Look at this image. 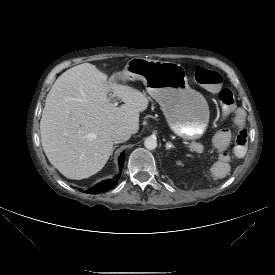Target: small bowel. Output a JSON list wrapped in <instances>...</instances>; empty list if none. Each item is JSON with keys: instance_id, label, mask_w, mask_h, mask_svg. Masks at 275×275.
<instances>
[{"instance_id": "1", "label": "small bowel", "mask_w": 275, "mask_h": 275, "mask_svg": "<svg viewBox=\"0 0 275 275\" xmlns=\"http://www.w3.org/2000/svg\"><path fill=\"white\" fill-rule=\"evenodd\" d=\"M233 123L236 130L246 129V114L243 109L237 108L235 110ZM211 142L214 148L220 150V152L216 154L215 161L210 166L209 176L214 181H221L228 175L233 166L232 156L225 150L231 148L234 137L228 129L220 128L212 134Z\"/></svg>"}]
</instances>
